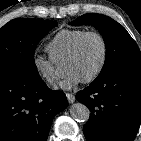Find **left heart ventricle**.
<instances>
[{
  "label": "left heart ventricle",
  "instance_id": "1",
  "mask_svg": "<svg viewBox=\"0 0 141 141\" xmlns=\"http://www.w3.org/2000/svg\"><path fill=\"white\" fill-rule=\"evenodd\" d=\"M101 58V42L98 38L91 36L85 40L76 58L65 61V70L76 72L82 79H86L97 70Z\"/></svg>",
  "mask_w": 141,
  "mask_h": 141
}]
</instances>
